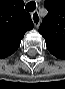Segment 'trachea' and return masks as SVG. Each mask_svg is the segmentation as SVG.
<instances>
[{
  "instance_id": "obj_1",
  "label": "trachea",
  "mask_w": 65,
  "mask_h": 89,
  "mask_svg": "<svg viewBox=\"0 0 65 89\" xmlns=\"http://www.w3.org/2000/svg\"><path fill=\"white\" fill-rule=\"evenodd\" d=\"M26 11L33 12L36 9V3L34 1H30L25 6Z\"/></svg>"
}]
</instances>
